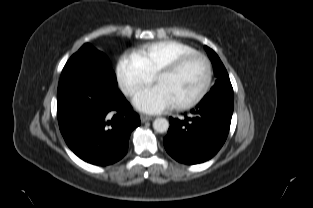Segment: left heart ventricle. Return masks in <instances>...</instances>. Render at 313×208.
<instances>
[{
    "label": "left heart ventricle",
    "instance_id": "1",
    "mask_svg": "<svg viewBox=\"0 0 313 208\" xmlns=\"http://www.w3.org/2000/svg\"><path fill=\"white\" fill-rule=\"evenodd\" d=\"M206 78L205 64L201 59H194L174 74L161 76L157 80L175 104L187 102L201 90Z\"/></svg>",
    "mask_w": 313,
    "mask_h": 208
}]
</instances>
